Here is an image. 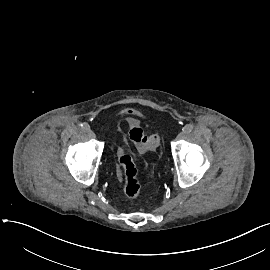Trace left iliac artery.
<instances>
[{
  "instance_id": "obj_1",
  "label": "left iliac artery",
  "mask_w": 270,
  "mask_h": 270,
  "mask_svg": "<svg viewBox=\"0 0 270 270\" xmlns=\"http://www.w3.org/2000/svg\"><path fill=\"white\" fill-rule=\"evenodd\" d=\"M193 130V125L192 124H186L183 128V131L186 134H189Z\"/></svg>"
}]
</instances>
